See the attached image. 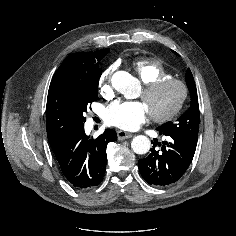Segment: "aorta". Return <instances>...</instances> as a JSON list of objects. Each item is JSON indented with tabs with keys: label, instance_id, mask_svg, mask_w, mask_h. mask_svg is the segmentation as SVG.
Segmentation results:
<instances>
[{
	"label": "aorta",
	"instance_id": "aorta-1",
	"mask_svg": "<svg viewBox=\"0 0 236 236\" xmlns=\"http://www.w3.org/2000/svg\"><path fill=\"white\" fill-rule=\"evenodd\" d=\"M113 86L128 99L134 98L135 93L139 88L136 79H134L129 73L123 71L115 74L113 78ZM150 147L151 142L149 138L144 135L134 137L131 142V148L136 154H146L150 150Z\"/></svg>",
	"mask_w": 236,
	"mask_h": 236
}]
</instances>
